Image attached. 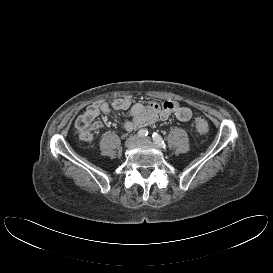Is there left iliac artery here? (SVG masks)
<instances>
[{"instance_id":"obj_1","label":"left iliac artery","mask_w":273,"mask_h":273,"mask_svg":"<svg viewBox=\"0 0 273 273\" xmlns=\"http://www.w3.org/2000/svg\"><path fill=\"white\" fill-rule=\"evenodd\" d=\"M152 138H153V141H154L159 147L166 149V144H165L164 140L162 139V137H161L159 134H157L156 132H154V133L152 134Z\"/></svg>"}]
</instances>
